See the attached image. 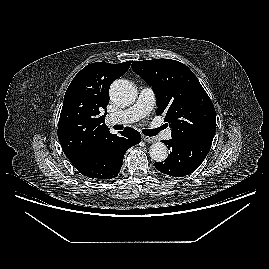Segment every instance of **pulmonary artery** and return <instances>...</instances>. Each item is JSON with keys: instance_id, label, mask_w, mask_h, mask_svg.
Returning a JSON list of instances; mask_svg holds the SVG:
<instances>
[{"instance_id": "pulmonary-artery-1", "label": "pulmonary artery", "mask_w": 269, "mask_h": 269, "mask_svg": "<svg viewBox=\"0 0 269 269\" xmlns=\"http://www.w3.org/2000/svg\"><path fill=\"white\" fill-rule=\"evenodd\" d=\"M155 104V94L150 88H143L137 98L136 103L130 108L117 114L109 115V124H129L138 121L147 116ZM171 129H167L163 133V138L171 139Z\"/></svg>"}]
</instances>
